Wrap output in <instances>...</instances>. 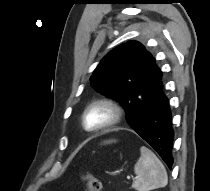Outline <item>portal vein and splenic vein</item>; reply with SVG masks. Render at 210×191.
Wrapping results in <instances>:
<instances>
[{
    "mask_svg": "<svg viewBox=\"0 0 210 191\" xmlns=\"http://www.w3.org/2000/svg\"><path fill=\"white\" fill-rule=\"evenodd\" d=\"M132 177L131 176H127V179L130 180Z\"/></svg>",
    "mask_w": 210,
    "mask_h": 191,
    "instance_id": "1",
    "label": "portal vein and splenic vein"
}]
</instances>
